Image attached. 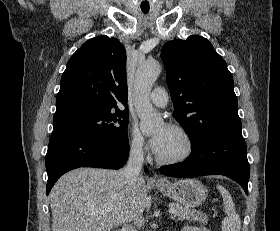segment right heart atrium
Masks as SVG:
<instances>
[{"label": "right heart atrium", "instance_id": "right-heart-atrium-1", "mask_svg": "<svg viewBox=\"0 0 280 231\" xmlns=\"http://www.w3.org/2000/svg\"><path fill=\"white\" fill-rule=\"evenodd\" d=\"M128 147L131 152L139 155H143L148 151L145 139L140 135L135 127L130 129Z\"/></svg>", "mask_w": 280, "mask_h": 231}]
</instances>
